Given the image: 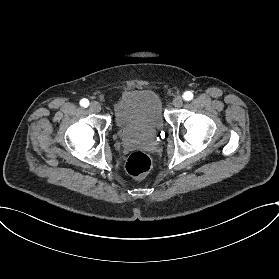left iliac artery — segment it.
I'll list each match as a JSON object with an SVG mask.
<instances>
[{"mask_svg":"<svg viewBox=\"0 0 279 279\" xmlns=\"http://www.w3.org/2000/svg\"><path fill=\"white\" fill-rule=\"evenodd\" d=\"M183 98L186 100V101H190L192 98H193V93L191 91H186L184 94H183Z\"/></svg>","mask_w":279,"mask_h":279,"instance_id":"1","label":"left iliac artery"}]
</instances>
